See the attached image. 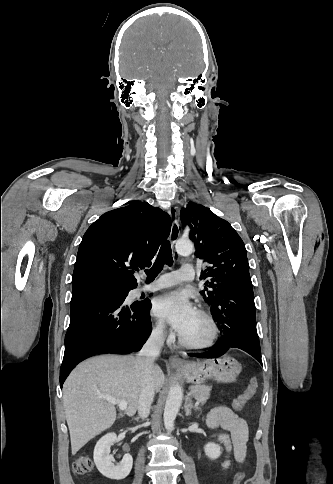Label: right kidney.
<instances>
[{
  "label": "right kidney",
  "instance_id": "1",
  "mask_svg": "<svg viewBox=\"0 0 333 484\" xmlns=\"http://www.w3.org/2000/svg\"><path fill=\"white\" fill-rule=\"evenodd\" d=\"M117 441L115 433H108L103 436L94 448V462L99 472L113 480H122L126 478L133 465V458L130 454L124 455L119 465L114 464V459L110 455V447Z\"/></svg>",
  "mask_w": 333,
  "mask_h": 484
}]
</instances>
